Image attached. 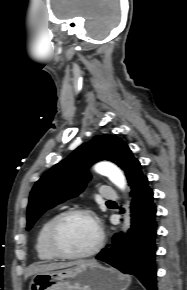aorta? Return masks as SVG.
I'll list each match as a JSON object with an SVG mask.
<instances>
[{"instance_id":"762f6f07","label":"aorta","mask_w":187,"mask_h":290,"mask_svg":"<svg viewBox=\"0 0 187 290\" xmlns=\"http://www.w3.org/2000/svg\"><path fill=\"white\" fill-rule=\"evenodd\" d=\"M96 172L101 175L107 176L112 183H114L121 190L125 189L126 180L123 173L113 164L110 163H99L95 166ZM129 226V216L125 217V227L127 230Z\"/></svg>"}]
</instances>
